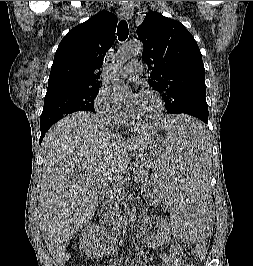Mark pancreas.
Segmentation results:
<instances>
[{"instance_id": "pancreas-1", "label": "pancreas", "mask_w": 253, "mask_h": 266, "mask_svg": "<svg viewBox=\"0 0 253 266\" xmlns=\"http://www.w3.org/2000/svg\"><path fill=\"white\" fill-rule=\"evenodd\" d=\"M138 181L141 183L140 189L142 191V197L146 201H152L153 199V192H151L148 187H147V180L145 179V174H139L138 175ZM111 200L109 202H114V204H110L109 208L106 210L104 213V220L106 222L112 223L115 219V217L119 213L118 205L120 202L124 199L125 194L122 192V189L120 190H115V193L110 194Z\"/></svg>"}]
</instances>
